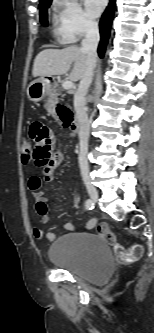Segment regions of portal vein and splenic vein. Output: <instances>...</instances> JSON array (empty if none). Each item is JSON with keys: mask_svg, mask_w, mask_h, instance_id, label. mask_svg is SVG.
Returning <instances> with one entry per match:
<instances>
[{"mask_svg": "<svg viewBox=\"0 0 154 333\" xmlns=\"http://www.w3.org/2000/svg\"><path fill=\"white\" fill-rule=\"evenodd\" d=\"M62 87L64 89H72L74 87V83L72 80H66L63 82Z\"/></svg>", "mask_w": 154, "mask_h": 333, "instance_id": "portal-vein-and-splenic-vein-1", "label": "portal vein and splenic vein"}]
</instances>
